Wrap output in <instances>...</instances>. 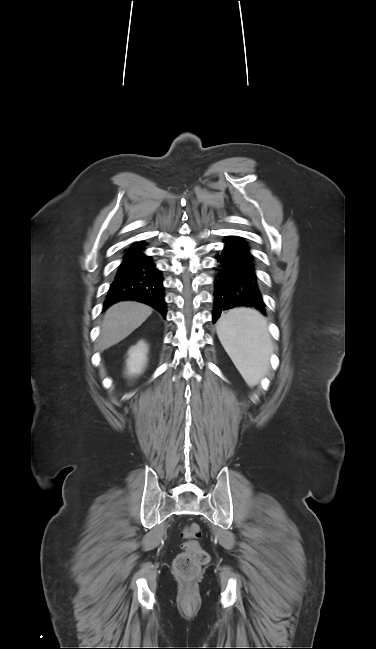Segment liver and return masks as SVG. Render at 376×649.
I'll list each match as a JSON object with an SVG mask.
<instances>
[{"instance_id":"1","label":"liver","mask_w":376,"mask_h":649,"mask_svg":"<svg viewBox=\"0 0 376 649\" xmlns=\"http://www.w3.org/2000/svg\"><path fill=\"white\" fill-rule=\"evenodd\" d=\"M151 314V307L138 302L124 301L112 305L104 315L98 349H108L124 340Z\"/></svg>"}]
</instances>
